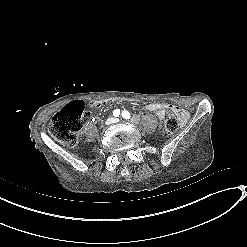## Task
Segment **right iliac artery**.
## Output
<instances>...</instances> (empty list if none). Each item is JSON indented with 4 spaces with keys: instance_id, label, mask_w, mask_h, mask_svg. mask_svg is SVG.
Here are the masks:
<instances>
[{
    "instance_id": "1",
    "label": "right iliac artery",
    "mask_w": 247,
    "mask_h": 247,
    "mask_svg": "<svg viewBox=\"0 0 247 247\" xmlns=\"http://www.w3.org/2000/svg\"><path fill=\"white\" fill-rule=\"evenodd\" d=\"M113 115H114L115 117H119L120 111H119L118 109L114 110V111H113Z\"/></svg>"
}]
</instances>
